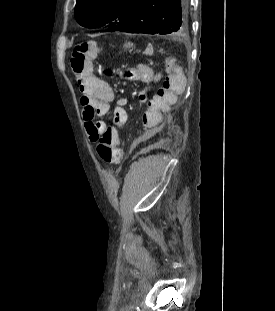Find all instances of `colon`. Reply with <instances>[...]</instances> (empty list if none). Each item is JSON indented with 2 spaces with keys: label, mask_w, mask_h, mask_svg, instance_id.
<instances>
[{
  "label": "colon",
  "mask_w": 275,
  "mask_h": 311,
  "mask_svg": "<svg viewBox=\"0 0 275 311\" xmlns=\"http://www.w3.org/2000/svg\"><path fill=\"white\" fill-rule=\"evenodd\" d=\"M98 52L99 48L93 41H84L75 46L70 63L77 78L89 73L91 61L97 56ZM91 138L92 141L97 143V155L104 164H117L121 161L122 151L117 146L116 138L111 129H107Z\"/></svg>",
  "instance_id": "1"
}]
</instances>
